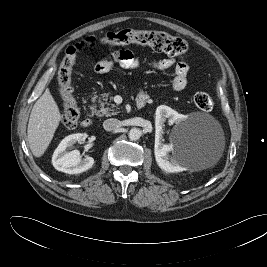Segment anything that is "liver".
Here are the masks:
<instances>
[{"instance_id":"6515ba94","label":"liver","mask_w":267,"mask_h":267,"mask_svg":"<svg viewBox=\"0 0 267 267\" xmlns=\"http://www.w3.org/2000/svg\"><path fill=\"white\" fill-rule=\"evenodd\" d=\"M60 120L58 105L49 89H46L32 108L27 128L29 146L35 157L45 153Z\"/></svg>"}]
</instances>
